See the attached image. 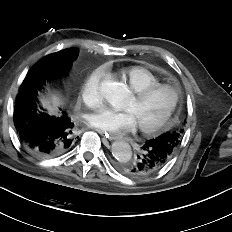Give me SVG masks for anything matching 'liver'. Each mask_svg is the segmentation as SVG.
<instances>
[{
  "instance_id": "obj_1",
  "label": "liver",
  "mask_w": 232,
  "mask_h": 232,
  "mask_svg": "<svg viewBox=\"0 0 232 232\" xmlns=\"http://www.w3.org/2000/svg\"><path fill=\"white\" fill-rule=\"evenodd\" d=\"M52 102L54 104V106L52 107L50 105V101L49 100H44L42 103H43V106L47 109H49L50 111H53L54 109H56V106H58L59 104H61V101L58 97H53L52 99Z\"/></svg>"
}]
</instances>
